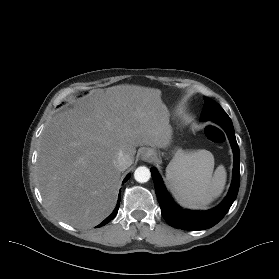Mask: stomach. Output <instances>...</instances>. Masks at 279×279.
I'll list each match as a JSON object with an SVG mask.
<instances>
[{
    "label": "stomach",
    "instance_id": "1",
    "mask_svg": "<svg viewBox=\"0 0 279 279\" xmlns=\"http://www.w3.org/2000/svg\"><path fill=\"white\" fill-rule=\"evenodd\" d=\"M181 153V150H177L175 153V157L178 156Z\"/></svg>",
    "mask_w": 279,
    "mask_h": 279
}]
</instances>
